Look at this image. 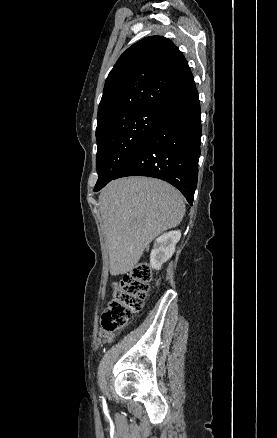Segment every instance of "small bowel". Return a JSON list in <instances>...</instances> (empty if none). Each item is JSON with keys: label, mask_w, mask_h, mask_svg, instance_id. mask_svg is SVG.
I'll return each mask as SVG.
<instances>
[{"label": "small bowel", "mask_w": 277, "mask_h": 438, "mask_svg": "<svg viewBox=\"0 0 277 438\" xmlns=\"http://www.w3.org/2000/svg\"><path fill=\"white\" fill-rule=\"evenodd\" d=\"M99 338L105 339L108 342H112L114 339V335L112 333H109V332H101L99 335Z\"/></svg>", "instance_id": "obj_1"}]
</instances>
